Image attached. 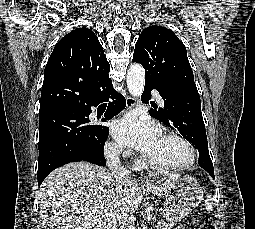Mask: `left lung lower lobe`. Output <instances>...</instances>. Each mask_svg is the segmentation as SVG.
<instances>
[{
	"mask_svg": "<svg viewBox=\"0 0 255 229\" xmlns=\"http://www.w3.org/2000/svg\"><path fill=\"white\" fill-rule=\"evenodd\" d=\"M156 89L164 100V107L168 113V124L175 127L180 132L190 133L194 136L205 137L206 131L201 113L200 97L186 95L171 87L158 86L154 83L145 82L142 100L148 103L150 91ZM156 110L151 109L149 114L158 119ZM159 120V119H158ZM199 151L198 164L214 178L213 164L207 147H202Z\"/></svg>",
	"mask_w": 255,
	"mask_h": 229,
	"instance_id": "1",
	"label": "left lung lower lobe"
}]
</instances>
